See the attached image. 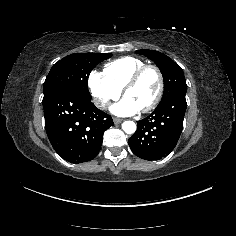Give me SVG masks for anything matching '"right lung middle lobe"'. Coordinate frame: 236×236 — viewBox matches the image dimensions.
I'll use <instances>...</instances> for the list:
<instances>
[{
	"label": "right lung middle lobe",
	"instance_id": "1",
	"mask_svg": "<svg viewBox=\"0 0 236 236\" xmlns=\"http://www.w3.org/2000/svg\"><path fill=\"white\" fill-rule=\"evenodd\" d=\"M112 56L111 53H75L55 63L44 83V97L57 90H66L84 98H91L88 76L92 69Z\"/></svg>",
	"mask_w": 236,
	"mask_h": 236
}]
</instances>
